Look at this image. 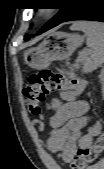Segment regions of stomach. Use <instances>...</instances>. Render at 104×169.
Returning a JSON list of instances; mask_svg holds the SVG:
<instances>
[{"mask_svg":"<svg viewBox=\"0 0 104 169\" xmlns=\"http://www.w3.org/2000/svg\"><path fill=\"white\" fill-rule=\"evenodd\" d=\"M84 38L79 34L54 32L48 35L38 46L24 52L25 62L34 69H43L52 61L63 60L69 57Z\"/></svg>","mask_w":104,"mask_h":169,"instance_id":"stomach-1","label":"stomach"}]
</instances>
